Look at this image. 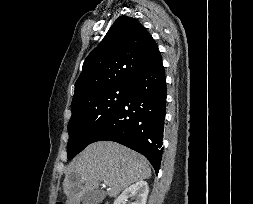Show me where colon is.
Here are the masks:
<instances>
[{"instance_id": "obj_1", "label": "colon", "mask_w": 253, "mask_h": 204, "mask_svg": "<svg viewBox=\"0 0 253 204\" xmlns=\"http://www.w3.org/2000/svg\"><path fill=\"white\" fill-rule=\"evenodd\" d=\"M56 204H64L63 202H61V201H58V202H56Z\"/></svg>"}]
</instances>
